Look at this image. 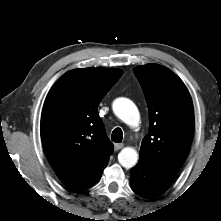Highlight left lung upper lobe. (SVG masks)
<instances>
[{"label": "left lung upper lobe", "mask_w": 221, "mask_h": 221, "mask_svg": "<svg viewBox=\"0 0 221 221\" xmlns=\"http://www.w3.org/2000/svg\"><path fill=\"white\" fill-rule=\"evenodd\" d=\"M149 111V132L140 160L175 176L189 153L194 133V109L182 80L157 64L134 68Z\"/></svg>", "instance_id": "5c2ea615"}]
</instances>
